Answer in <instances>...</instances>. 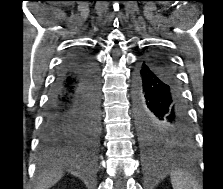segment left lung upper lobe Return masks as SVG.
I'll list each match as a JSON object with an SVG mask.
<instances>
[{"label": "left lung upper lobe", "mask_w": 223, "mask_h": 189, "mask_svg": "<svg viewBox=\"0 0 223 189\" xmlns=\"http://www.w3.org/2000/svg\"><path fill=\"white\" fill-rule=\"evenodd\" d=\"M145 60H157L162 62L170 75L177 81L175 71L165 54L151 52L145 57ZM139 133L143 146L150 152L169 148H183L188 145L184 144L181 140L173 136L164 126L159 124L148 128H139Z\"/></svg>", "instance_id": "5c2ea615"}]
</instances>
